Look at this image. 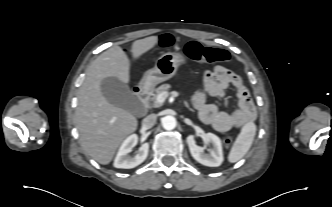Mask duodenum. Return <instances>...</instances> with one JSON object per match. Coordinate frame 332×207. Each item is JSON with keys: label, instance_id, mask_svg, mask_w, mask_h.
<instances>
[{"label": "duodenum", "instance_id": "1", "mask_svg": "<svg viewBox=\"0 0 332 207\" xmlns=\"http://www.w3.org/2000/svg\"><path fill=\"white\" fill-rule=\"evenodd\" d=\"M149 92H150L149 88H147L145 86L138 87L135 90V95L143 107V110H142L143 115H145L147 113V102L149 99Z\"/></svg>", "mask_w": 332, "mask_h": 207}]
</instances>
